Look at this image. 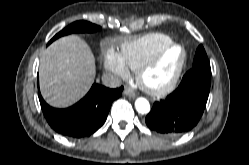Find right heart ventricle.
<instances>
[{
    "label": "right heart ventricle",
    "instance_id": "e07e8e85",
    "mask_svg": "<svg viewBox=\"0 0 249 165\" xmlns=\"http://www.w3.org/2000/svg\"><path fill=\"white\" fill-rule=\"evenodd\" d=\"M172 42L170 36L154 32L124 43L121 46L120 55L129 69L136 71L143 62L155 57Z\"/></svg>",
    "mask_w": 249,
    "mask_h": 165
}]
</instances>
